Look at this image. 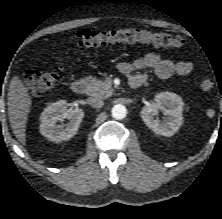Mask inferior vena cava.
<instances>
[{"label":"inferior vena cava","mask_w":222,"mask_h":219,"mask_svg":"<svg viewBox=\"0 0 222 219\" xmlns=\"http://www.w3.org/2000/svg\"><path fill=\"white\" fill-rule=\"evenodd\" d=\"M88 104L94 108H102L104 105V101L97 97H90L88 99Z\"/></svg>","instance_id":"obj_1"}]
</instances>
